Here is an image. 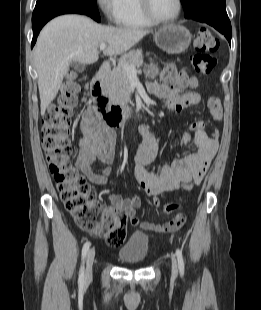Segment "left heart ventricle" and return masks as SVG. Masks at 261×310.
Listing matches in <instances>:
<instances>
[{
  "mask_svg": "<svg viewBox=\"0 0 261 310\" xmlns=\"http://www.w3.org/2000/svg\"><path fill=\"white\" fill-rule=\"evenodd\" d=\"M153 14L161 19L172 17L177 10V0H150Z\"/></svg>",
  "mask_w": 261,
  "mask_h": 310,
  "instance_id": "1",
  "label": "left heart ventricle"
}]
</instances>
